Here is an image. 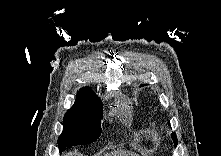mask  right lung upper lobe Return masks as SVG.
Segmentation results:
<instances>
[{
    "instance_id": "obj_1",
    "label": "right lung upper lobe",
    "mask_w": 221,
    "mask_h": 156,
    "mask_svg": "<svg viewBox=\"0 0 221 156\" xmlns=\"http://www.w3.org/2000/svg\"><path fill=\"white\" fill-rule=\"evenodd\" d=\"M102 106L101 100L89 87H83L77 92L76 101L72 107Z\"/></svg>"
}]
</instances>
